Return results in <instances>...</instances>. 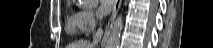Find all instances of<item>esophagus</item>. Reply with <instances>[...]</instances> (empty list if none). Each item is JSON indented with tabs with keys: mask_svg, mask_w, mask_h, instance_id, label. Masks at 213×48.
<instances>
[{
	"mask_svg": "<svg viewBox=\"0 0 213 48\" xmlns=\"http://www.w3.org/2000/svg\"><path fill=\"white\" fill-rule=\"evenodd\" d=\"M121 3H122V0H116L115 1V5H114V9H113V12H112V15L110 17V20L105 28V32H104V37H103V40L101 42V44L105 43V40L107 39L109 33H110V30L112 28V24H113V21L116 17V14L118 13L119 9H120V6H121Z\"/></svg>",
	"mask_w": 213,
	"mask_h": 48,
	"instance_id": "34e87169",
	"label": "esophagus"
}]
</instances>
